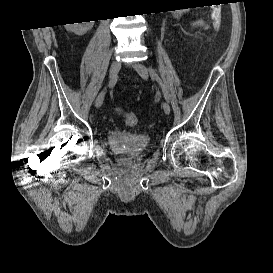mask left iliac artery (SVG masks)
Instances as JSON below:
<instances>
[{
  "instance_id": "left-iliac-artery-1",
  "label": "left iliac artery",
  "mask_w": 273,
  "mask_h": 273,
  "mask_svg": "<svg viewBox=\"0 0 273 273\" xmlns=\"http://www.w3.org/2000/svg\"><path fill=\"white\" fill-rule=\"evenodd\" d=\"M149 73H150L151 78L153 80H156L159 83V85L163 91L164 97H165L166 101L169 103V97H168L167 91L165 89V86H164L162 80L160 79V77L158 76V74L156 73L155 69L151 65H149Z\"/></svg>"
}]
</instances>
